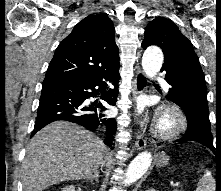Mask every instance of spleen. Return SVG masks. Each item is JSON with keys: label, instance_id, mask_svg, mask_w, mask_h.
<instances>
[{"label": "spleen", "instance_id": "1", "mask_svg": "<svg viewBox=\"0 0 221 191\" xmlns=\"http://www.w3.org/2000/svg\"><path fill=\"white\" fill-rule=\"evenodd\" d=\"M215 180L209 170H206L203 176L199 179L196 191H215Z\"/></svg>", "mask_w": 221, "mask_h": 191}]
</instances>
